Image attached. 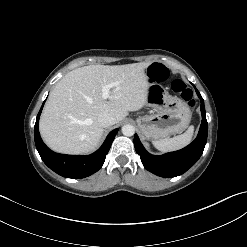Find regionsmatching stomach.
<instances>
[{
    "label": "stomach",
    "mask_w": 247,
    "mask_h": 247,
    "mask_svg": "<svg viewBox=\"0 0 247 247\" xmlns=\"http://www.w3.org/2000/svg\"><path fill=\"white\" fill-rule=\"evenodd\" d=\"M147 105L154 113L139 117L138 127L148 140H160L185 130L191 120L188 104L168 91L156 81L148 87Z\"/></svg>",
    "instance_id": "1"
}]
</instances>
